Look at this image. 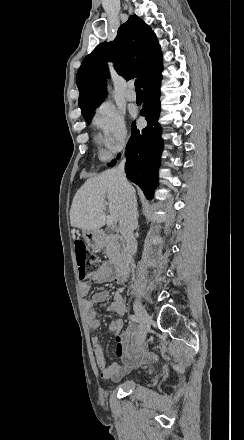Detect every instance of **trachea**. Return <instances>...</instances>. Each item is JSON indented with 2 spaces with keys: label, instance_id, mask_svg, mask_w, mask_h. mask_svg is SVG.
Returning a JSON list of instances; mask_svg holds the SVG:
<instances>
[{
  "label": "trachea",
  "instance_id": "3493384b",
  "mask_svg": "<svg viewBox=\"0 0 244 440\" xmlns=\"http://www.w3.org/2000/svg\"><path fill=\"white\" fill-rule=\"evenodd\" d=\"M141 87H142L141 79L140 78H136V80H135V90H136V92H142Z\"/></svg>",
  "mask_w": 244,
  "mask_h": 440
}]
</instances>
